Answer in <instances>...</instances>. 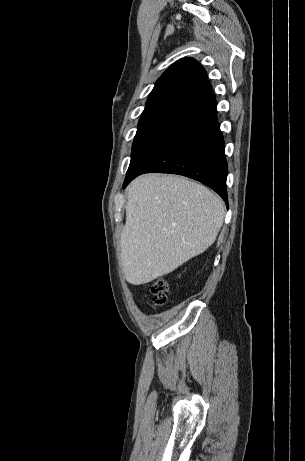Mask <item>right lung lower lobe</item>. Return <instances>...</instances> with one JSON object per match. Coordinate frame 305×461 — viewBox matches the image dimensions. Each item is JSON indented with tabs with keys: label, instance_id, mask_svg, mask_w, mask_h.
<instances>
[{
	"label": "right lung lower lobe",
	"instance_id": "98d812e1",
	"mask_svg": "<svg viewBox=\"0 0 305 461\" xmlns=\"http://www.w3.org/2000/svg\"><path fill=\"white\" fill-rule=\"evenodd\" d=\"M215 95L188 108L167 135L134 167L128 168L123 188L140 174L172 173L200 181L228 205L227 162Z\"/></svg>",
	"mask_w": 305,
	"mask_h": 461
}]
</instances>
